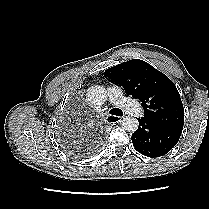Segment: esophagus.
I'll use <instances>...</instances> for the list:
<instances>
[{"label":"esophagus","mask_w":209,"mask_h":209,"mask_svg":"<svg viewBox=\"0 0 209 209\" xmlns=\"http://www.w3.org/2000/svg\"><path fill=\"white\" fill-rule=\"evenodd\" d=\"M122 119V117H119V116H115V115H109L107 118H106V121L107 123H118L120 122Z\"/></svg>","instance_id":"1"}]
</instances>
